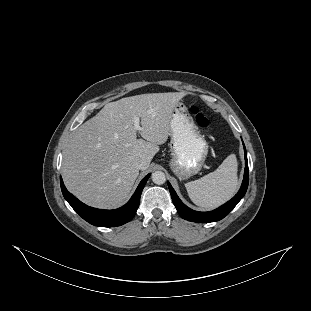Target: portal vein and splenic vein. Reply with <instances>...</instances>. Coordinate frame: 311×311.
Masks as SVG:
<instances>
[{
	"label": "portal vein and splenic vein",
	"instance_id": "1",
	"mask_svg": "<svg viewBox=\"0 0 311 311\" xmlns=\"http://www.w3.org/2000/svg\"><path fill=\"white\" fill-rule=\"evenodd\" d=\"M133 125H134V129L137 131L142 130V127L140 126V118L137 116H134L133 118Z\"/></svg>",
	"mask_w": 311,
	"mask_h": 311
}]
</instances>
